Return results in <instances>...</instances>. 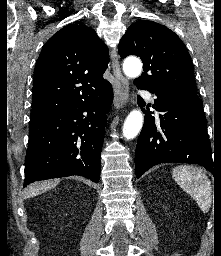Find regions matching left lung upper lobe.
<instances>
[{"mask_svg": "<svg viewBox=\"0 0 221 256\" xmlns=\"http://www.w3.org/2000/svg\"><path fill=\"white\" fill-rule=\"evenodd\" d=\"M118 51L122 58H141L144 72L134 80L135 85L154 92L197 96L190 55L180 38L166 26L137 21L120 40Z\"/></svg>", "mask_w": 221, "mask_h": 256, "instance_id": "obj_1", "label": "left lung upper lobe"}]
</instances>
